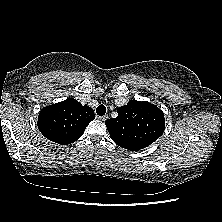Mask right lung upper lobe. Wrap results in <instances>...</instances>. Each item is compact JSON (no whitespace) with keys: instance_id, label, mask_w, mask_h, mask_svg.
Returning <instances> with one entry per match:
<instances>
[{"instance_id":"right-lung-upper-lobe-1","label":"right lung upper lobe","mask_w":222,"mask_h":222,"mask_svg":"<svg viewBox=\"0 0 222 222\" xmlns=\"http://www.w3.org/2000/svg\"><path fill=\"white\" fill-rule=\"evenodd\" d=\"M95 118L92 108L74 98L44 107L38 117V128L48 140L68 145L78 140Z\"/></svg>"}]
</instances>
